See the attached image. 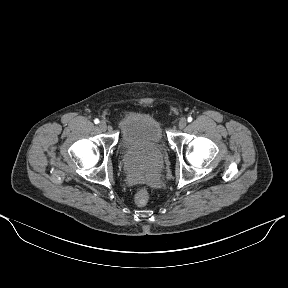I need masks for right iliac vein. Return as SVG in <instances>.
Segmentation results:
<instances>
[{"label": "right iliac vein", "instance_id": "obj_1", "mask_svg": "<svg viewBox=\"0 0 288 288\" xmlns=\"http://www.w3.org/2000/svg\"><path fill=\"white\" fill-rule=\"evenodd\" d=\"M99 128H100L102 131H106V129H107V124H106V122L101 121V122L99 123Z\"/></svg>", "mask_w": 288, "mask_h": 288}]
</instances>
